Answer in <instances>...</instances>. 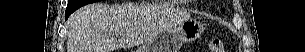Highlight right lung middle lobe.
<instances>
[{"instance_id":"right-lung-middle-lobe-1","label":"right lung middle lobe","mask_w":305,"mask_h":52,"mask_svg":"<svg viewBox=\"0 0 305 52\" xmlns=\"http://www.w3.org/2000/svg\"><path fill=\"white\" fill-rule=\"evenodd\" d=\"M97 1H101V0H68L67 8L75 11L78 8H80L86 4L97 2Z\"/></svg>"}]
</instances>
